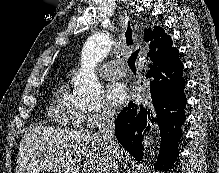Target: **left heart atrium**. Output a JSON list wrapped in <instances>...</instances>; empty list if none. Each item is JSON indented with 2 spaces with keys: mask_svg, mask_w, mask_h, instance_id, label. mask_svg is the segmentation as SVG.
Returning <instances> with one entry per match:
<instances>
[{
  "mask_svg": "<svg viewBox=\"0 0 219 173\" xmlns=\"http://www.w3.org/2000/svg\"><path fill=\"white\" fill-rule=\"evenodd\" d=\"M128 97V90L124 83H111L106 92V98L110 105L117 107L123 104Z\"/></svg>",
  "mask_w": 219,
  "mask_h": 173,
  "instance_id": "39dd6f15",
  "label": "left heart atrium"
}]
</instances>
